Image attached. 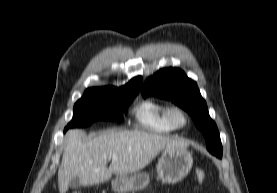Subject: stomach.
Returning a JSON list of instances; mask_svg holds the SVG:
<instances>
[{"label": "stomach", "instance_id": "obj_1", "mask_svg": "<svg viewBox=\"0 0 277 193\" xmlns=\"http://www.w3.org/2000/svg\"><path fill=\"white\" fill-rule=\"evenodd\" d=\"M193 158L186 148H170L163 150L157 164L158 178L165 184L180 182L191 170ZM149 184V175L136 172L126 176H116L112 181V189L116 193H128L142 190Z\"/></svg>", "mask_w": 277, "mask_h": 193}]
</instances>
